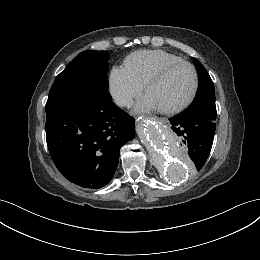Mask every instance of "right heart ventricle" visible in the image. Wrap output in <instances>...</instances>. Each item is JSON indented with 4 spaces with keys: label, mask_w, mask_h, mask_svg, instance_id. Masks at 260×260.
I'll return each mask as SVG.
<instances>
[{
    "label": "right heart ventricle",
    "mask_w": 260,
    "mask_h": 260,
    "mask_svg": "<svg viewBox=\"0 0 260 260\" xmlns=\"http://www.w3.org/2000/svg\"><path fill=\"white\" fill-rule=\"evenodd\" d=\"M176 55L162 50H140L129 55L125 60L128 73L141 84H145L148 77L161 66L179 61Z\"/></svg>",
    "instance_id": "e07e8e85"
}]
</instances>
